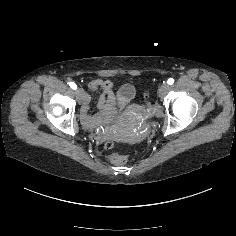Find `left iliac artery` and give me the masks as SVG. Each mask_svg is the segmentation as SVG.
Instances as JSON below:
<instances>
[{"instance_id":"44dca946","label":"left iliac artery","mask_w":236,"mask_h":236,"mask_svg":"<svg viewBox=\"0 0 236 236\" xmlns=\"http://www.w3.org/2000/svg\"><path fill=\"white\" fill-rule=\"evenodd\" d=\"M167 83H168L169 85H172V84L174 83V79H173V78H169L168 81H167Z\"/></svg>"}]
</instances>
